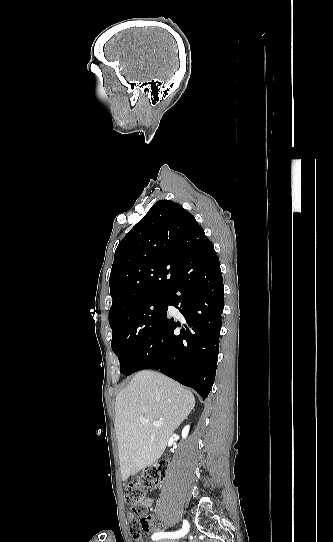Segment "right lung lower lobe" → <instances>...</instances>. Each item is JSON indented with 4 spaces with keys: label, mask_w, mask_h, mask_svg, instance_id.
Returning a JSON list of instances; mask_svg holds the SVG:
<instances>
[{
    "label": "right lung lower lobe",
    "mask_w": 333,
    "mask_h": 542,
    "mask_svg": "<svg viewBox=\"0 0 333 542\" xmlns=\"http://www.w3.org/2000/svg\"><path fill=\"white\" fill-rule=\"evenodd\" d=\"M182 278L168 293V305L183 318H167L127 375L158 369L207 398L215 379L223 312L220 262L210 241L183 249L177 256Z\"/></svg>",
    "instance_id": "1"
}]
</instances>
